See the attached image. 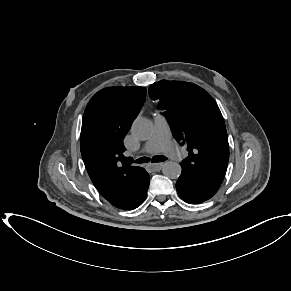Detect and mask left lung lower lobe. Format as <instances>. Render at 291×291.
Returning a JSON list of instances; mask_svg holds the SVG:
<instances>
[{
    "instance_id": "1",
    "label": "left lung lower lobe",
    "mask_w": 291,
    "mask_h": 291,
    "mask_svg": "<svg viewBox=\"0 0 291 291\" xmlns=\"http://www.w3.org/2000/svg\"><path fill=\"white\" fill-rule=\"evenodd\" d=\"M220 186L208 182L196 174L182 170L176 182L178 195L189 204H200L215 195Z\"/></svg>"
}]
</instances>
